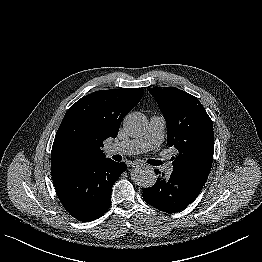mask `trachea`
Wrapping results in <instances>:
<instances>
[{
	"label": "trachea",
	"mask_w": 262,
	"mask_h": 262,
	"mask_svg": "<svg viewBox=\"0 0 262 262\" xmlns=\"http://www.w3.org/2000/svg\"><path fill=\"white\" fill-rule=\"evenodd\" d=\"M147 163L153 166H159L162 162L159 160L150 159L147 161Z\"/></svg>",
	"instance_id": "1"
}]
</instances>
